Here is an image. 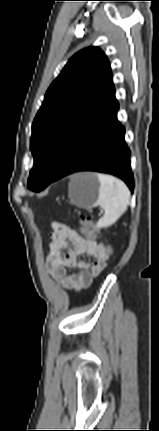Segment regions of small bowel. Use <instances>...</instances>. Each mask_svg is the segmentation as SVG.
Listing matches in <instances>:
<instances>
[{"instance_id":"obj_1","label":"small bowel","mask_w":159,"mask_h":431,"mask_svg":"<svg viewBox=\"0 0 159 431\" xmlns=\"http://www.w3.org/2000/svg\"><path fill=\"white\" fill-rule=\"evenodd\" d=\"M52 228L48 254L51 275L66 290L79 292L88 288L110 260V255L105 253L106 246L83 238L63 224L53 223ZM83 254L94 261H79L78 257ZM68 269H77V272L68 273Z\"/></svg>"}]
</instances>
